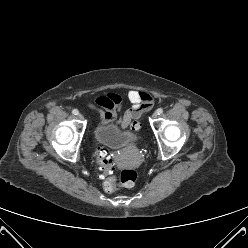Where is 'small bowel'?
<instances>
[{
	"label": "small bowel",
	"mask_w": 248,
	"mask_h": 248,
	"mask_svg": "<svg viewBox=\"0 0 248 248\" xmlns=\"http://www.w3.org/2000/svg\"><path fill=\"white\" fill-rule=\"evenodd\" d=\"M128 99L132 108L123 112L117 117V111H120V99L114 94L101 96L95 100L97 113L101 123H117L122 129L131 127L134 129L136 123L133 122L142 111L153 110L155 101L144 91L131 90L128 92ZM135 130V129H134Z\"/></svg>",
	"instance_id": "1"
}]
</instances>
